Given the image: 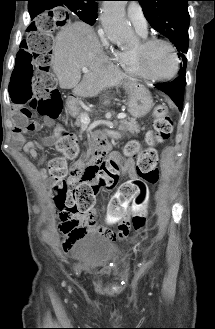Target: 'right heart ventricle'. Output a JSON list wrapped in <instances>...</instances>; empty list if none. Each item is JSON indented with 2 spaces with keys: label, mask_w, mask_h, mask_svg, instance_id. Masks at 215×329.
<instances>
[{
  "label": "right heart ventricle",
  "mask_w": 215,
  "mask_h": 329,
  "mask_svg": "<svg viewBox=\"0 0 215 329\" xmlns=\"http://www.w3.org/2000/svg\"><path fill=\"white\" fill-rule=\"evenodd\" d=\"M141 36L146 38L147 34H141ZM135 49L118 51L116 60L128 73L141 76L135 63Z\"/></svg>",
  "instance_id": "right-heart-ventricle-1"
}]
</instances>
